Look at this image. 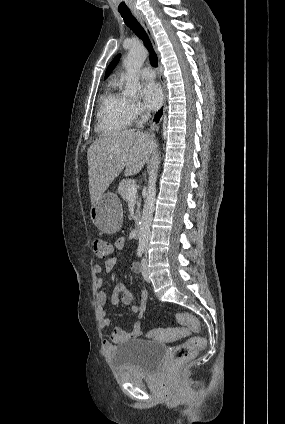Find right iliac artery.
Wrapping results in <instances>:
<instances>
[{
	"instance_id": "1",
	"label": "right iliac artery",
	"mask_w": 285,
	"mask_h": 424,
	"mask_svg": "<svg viewBox=\"0 0 285 424\" xmlns=\"http://www.w3.org/2000/svg\"><path fill=\"white\" fill-rule=\"evenodd\" d=\"M143 253H144V249H143V248H139V249L137 250V255H138V257H142Z\"/></svg>"
}]
</instances>
